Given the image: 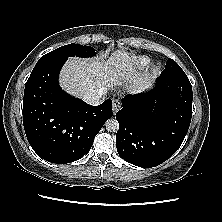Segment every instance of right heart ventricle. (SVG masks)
Segmentation results:
<instances>
[{"mask_svg": "<svg viewBox=\"0 0 222 222\" xmlns=\"http://www.w3.org/2000/svg\"><path fill=\"white\" fill-rule=\"evenodd\" d=\"M150 62V59L145 56H139L132 59L130 63V68L132 70H141L144 69Z\"/></svg>", "mask_w": 222, "mask_h": 222, "instance_id": "obj_1", "label": "right heart ventricle"}]
</instances>
